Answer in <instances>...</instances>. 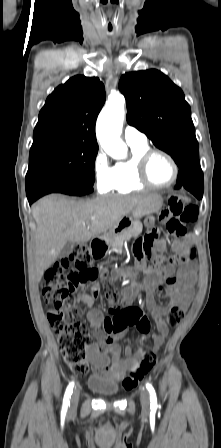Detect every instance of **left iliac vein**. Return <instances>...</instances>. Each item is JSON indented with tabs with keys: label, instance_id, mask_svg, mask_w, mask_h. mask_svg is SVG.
<instances>
[{
	"label": "left iliac vein",
	"instance_id": "left-iliac-vein-1",
	"mask_svg": "<svg viewBox=\"0 0 221 448\" xmlns=\"http://www.w3.org/2000/svg\"><path fill=\"white\" fill-rule=\"evenodd\" d=\"M140 401L144 412H148L150 409V396L147 390L141 389Z\"/></svg>",
	"mask_w": 221,
	"mask_h": 448
}]
</instances>
